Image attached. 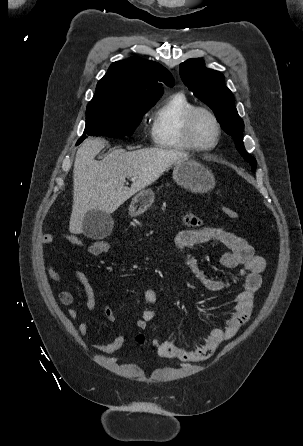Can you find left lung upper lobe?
Returning a JSON list of instances; mask_svg holds the SVG:
<instances>
[{
  "label": "left lung upper lobe",
  "mask_w": 303,
  "mask_h": 446,
  "mask_svg": "<svg viewBox=\"0 0 303 446\" xmlns=\"http://www.w3.org/2000/svg\"><path fill=\"white\" fill-rule=\"evenodd\" d=\"M180 75L189 90L214 111L221 127L233 136L237 150L255 171L257 162L245 150L242 139L244 123L235 108L232 92L224 84V76L219 71L206 68L201 58L181 63Z\"/></svg>",
  "instance_id": "obj_1"
}]
</instances>
